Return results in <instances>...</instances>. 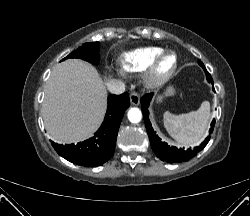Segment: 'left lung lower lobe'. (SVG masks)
I'll use <instances>...</instances> for the list:
<instances>
[{
	"mask_svg": "<svg viewBox=\"0 0 250 216\" xmlns=\"http://www.w3.org/2000/svg\"><path fill=\"white\" fill-rule=\"evenodd\" d=\"M203 69L205 71L207 81L213 85V79L209 74V72L206 70L205 66H203ZM152 97L153 93L146 94L141 98L140 102L142 104L141 108L143 112L146 130L150 139V144L156 156L160 158L162 161H166L169 163H179L182 161H188L189 159L193 158L198 151L202 150L207 145L210 136H208L205 139V141L201 143L200 146L195 147L194 149H187V150L178 149L174 146H169L165 142H162L161 139L158 137V135H156V132L153 130L149 120L148 107ZM214 125H215V120H213L211 123V128L209 130V133H212Z\"/></svg>",
	"mask_w": 250,
	"mask_h": 216,
	"instance_id": "1",
	"label": "left lung lower lobe"
}]
</instances>
